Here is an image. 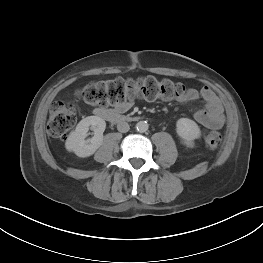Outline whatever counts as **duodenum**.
Listing matches in <instances>:
<instances>
[{"instance_id":"410a0bca","label":"duodenum","mask_w":263,"mask_h":263,"mask_svg":"<svg viewBox=\"0 0 263 263\" xmlns=\"http://www.w3.org/2000/svg\"><path fill=\"white\" fill-rule=\"evenodd\" d=\"M96 114L110 122L113 123H122L135 120L136 118L125 116L120 114L117 111L109 110V109H99Z\"/></svg>"}]
</instances>
